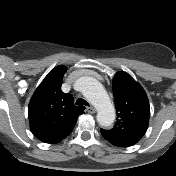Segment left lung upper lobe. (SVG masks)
Listing matches in <instances>:
<instances>
[{"mask_svg": "<svg viewBox=\"0 0 176 176\" xmlns=\"http://www.w3.org/2000/svg\"><path fill=\"white\" fill-rule=\"evenodd\" d=\"M113 95L117 122L112 129H101V132L132 146L145 135L148 128L150 107L147 95L143 88L123 71L114 76Z\"/></svg>", "mask_w": 176, "mask_h": 176, "instance_id": "left-lung-upper-lobe-1", "label": "left lung upper lobe"}]
</instances>
